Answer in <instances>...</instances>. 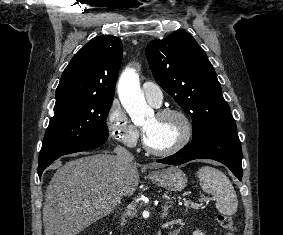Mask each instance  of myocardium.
Here are the masks:
<instances>
[{
  "instance_id": "obj_1",
  "label": "myocardium",
  "mask_w": 283,
  "mask_h": 235,
  "mask_svg": "<svg viewBox=\"0 0 283 235\" xmlns=\"http://www.w3.org/2000/svg\"><path fill=\"white\" fill-rule=\"evenodd\" d=\"M155 115L157 117L175 116L179 118L183 125V132L179 140L173 146L164 150H159L151 147L144 134L143 147L149 154H152L154 156L167 157L178 153L185 146H187L193 136V125L190 118L184 111L176 108H163L158 110Z\"/></svg>"
}]
</instances>
